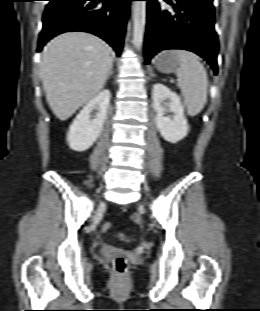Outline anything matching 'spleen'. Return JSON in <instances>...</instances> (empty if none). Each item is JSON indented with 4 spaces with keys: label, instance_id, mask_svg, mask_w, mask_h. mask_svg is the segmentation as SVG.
I'll return each mask as SVG.
<instances>
[{
    "label": "spleen",
    "instance_id": "1",
    "mask_svg": "<svg viewBox=\"0 0 260 311\" xmlns=\"http://www.w3.org/2000/svg\"><path fill=\"white\" fill-rule=\"evenodd\" d=\"M179 61L176 72L178 87L184 97V105L190 116L199 114L207 101L208 77L198 57L186 50L172 51Z\"/></svg>",
    "mask_w": 260,
    "mask_h": 311
}]
</instances>
